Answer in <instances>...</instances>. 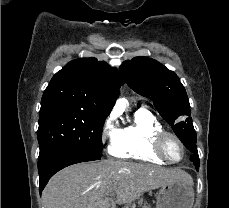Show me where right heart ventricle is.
<instances>
[{"label":"right heart ventricle","mask_w":229,"mask_h":208,"mask_svg":"<svg viewBox=\"0 0 229 208\" xmlns=\"http://www.w3.org/2000/svg\"><path fill=\"white\" fill-rule=\"evenodd\" d=\"M163 125L145 107L137 109L132 121L118 131V139L112 150L121 159L136 160L143 163L167 165L165 158H158L152 153L156 148L158 135L164 131Z\"/></svg>","instance_id":"right-heart-ventricle-1"}]
</instances>
